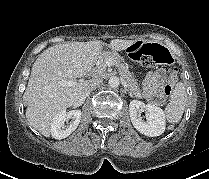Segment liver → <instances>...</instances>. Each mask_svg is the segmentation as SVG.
<instances>
[{"label":"liver","mask_w":209,"mask_h":179,"mask_svg":"<svg viewBox=\"0 0 209 179\" xmlns=\"http://www.w3.org/2000/svg\"><path fill=\"white\" fill-rule=\"evenodd\" d=\"M134 40H111L112 51H122ZM101 41L58 44L44 50L34 62L23 100L29 124L45 137L51 134L53 118L83 98L88 81L63 86L62 81L87 75L102 55Z\"/></svg>","instance_id":"6515ba94"}]
</instances>
